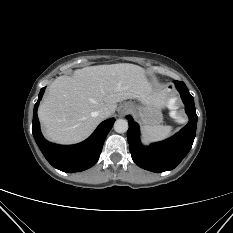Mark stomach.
Here are the masks:
<instances>
[{
  "mask_svg": "<svg viewBox=\"0 0 233 233\" xmlns=\"http://www.w3.org/2000/svg\"><path fill=\"white\" fill-rule=\"evenodd\" d=\"M129 112L133 113L144 126H156L162 123L163 117L159 106L149 101L126 103Z\"/></svg>",
  "mask_w": 233,
  "mask_h": 233,
  "instance_id": "0dacf381",
  "label": "stomach"
}]
</instances>
